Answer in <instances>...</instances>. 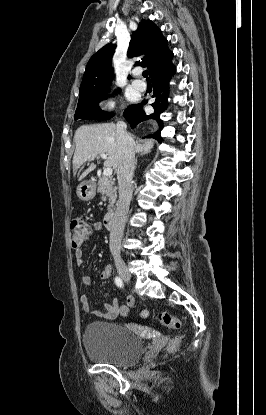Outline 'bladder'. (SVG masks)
<instances>
[{
  "label": "bladder",
  "instance_id": "1",
  "mask_svg": "<svg viewBox=\"0 0 266 415\" xmlns=\"http://www.w3.org/2000/svg\"><path fill=\"white\" fill-rule=\"evenodd\" d=\"M87 356L96 362L130 366L143 355V345L130 329L113 322L94 321L83 334Z\"/></svg>",
  "mask_w": 266,
  "mask_h": 415
}]
</instances>
